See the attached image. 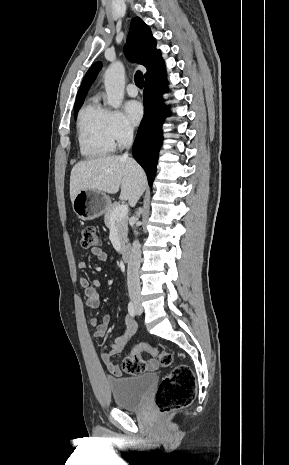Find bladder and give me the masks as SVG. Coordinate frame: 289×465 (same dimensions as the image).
<instances>
[{"mask_svg": "<svg viewBox=\"0 0 289 465\" xmlns=\"http://www.w3.org/2000/svg\"><path fill=\"white\" fill-rule=\"evenodd\" d=\"M156 375L144 374L138 377H120L108 379L115 405L124 410L142 407L154 383Z\"/></svg>", "mask_w": 289, "mask_h": 465, "instance_id": "31cf9c89", "label": "bladder"}]
</instances>
